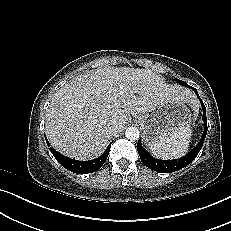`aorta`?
<instances>
[{
  "instance_id": "762f6f07",
  "label": "aorta",
  "mask_w": 231,
  "mask_h": 231,
  "mask_svg": "<svg viewBox=\"0 0 231 231\" xmlns=\"http://www.w3.org/2000/svg\"><path fill=\"white\" fill-rule=\"evenodd\" d=\"M125 136L131 141L139 139L140 132L136 127H128L125 131Z\"/></svg>"
}]
</instances>
